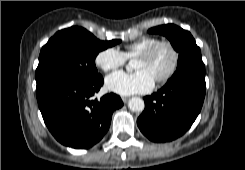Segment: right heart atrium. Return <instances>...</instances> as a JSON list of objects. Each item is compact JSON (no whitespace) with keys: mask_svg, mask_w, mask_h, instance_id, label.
Instances as JSON below:
<instances>
[{"mask_svg":"<svg viewBox=\"0 0 245 170\" xmlns=\"http://www.w3.org/2000/svg\"><path fill=\"white\" fill-rule=\"evenodd\" d=\"M125 54L115 47H106L99 51L94 59L95 65L108 72L118 69L126 63Z\"/></svg>","mask_w":245,"mask_h":170,"instance_id":"d8ad5b80","label":"right heart atrium"}]
</instances>
